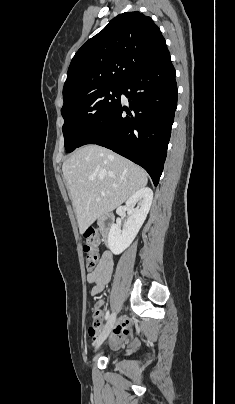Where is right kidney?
<instances>
[{
	"mask_svg": "<svg viewBox=\"0 0 235 404\" xmlns=\"http://www.w3.org/2000/svg\"><path fill=\"white\" fill-rule=\"evenodd\" d=\"M152 200L153 191L144 187L126 201L123 209L127 210L128 219L123 229H120V225L113 224L108 235V245L113 254L119 255L131 245L147 217ZM136 203L138 208L134 209Z\"/></svg>",
	"mask_w": 235,
	"mask_h": 404,
	"instance_id": "1",
	"label": "right kidney"
}]
</instances>
